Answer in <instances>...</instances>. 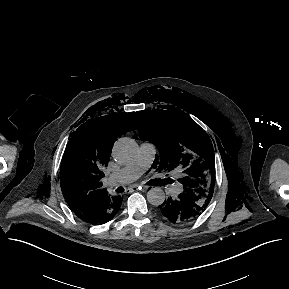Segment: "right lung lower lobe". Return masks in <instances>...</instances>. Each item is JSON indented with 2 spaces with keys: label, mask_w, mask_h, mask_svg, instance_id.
<instances>
[{
  "label": "right lung lower lobe",
  "mask_w": 289,
  "mask_h": 289,
  "mask_svg": "<svg viewBox=\"0 0 289 289\" xmlns=\"http://www.w3.org/2000/svg\"><path fill=\"white\" fill-rule=\"evenodd\" d=\"M121 203V196H106L99 201L97 207L92 213L80 219L87 223L96 225L106 223L115 216Z\"/></svg>",
  "instance_id": "98d812e1"
}]
</instances>
